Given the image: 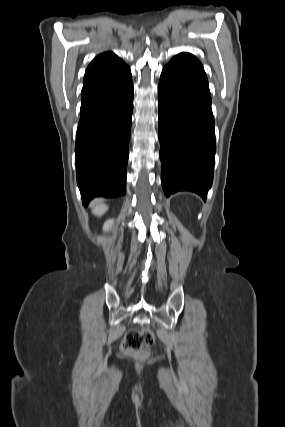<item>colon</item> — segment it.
<instances>
[{"label":"colon","instance_id":"colon-1","mask_svg":"<svg viewBox=\"0 0 285 427\" xmlns=\"http://www.w3.org/2000/svg\"><path fill=\"white\" fill-rule=\"evenodd\" d=\"M153 341L154 334L149 328L131 329L125 335L123 349L145 358Z\"/></svg>","mask_w":285,"mask_h":427}]
</instances>
